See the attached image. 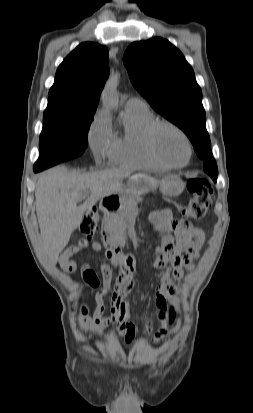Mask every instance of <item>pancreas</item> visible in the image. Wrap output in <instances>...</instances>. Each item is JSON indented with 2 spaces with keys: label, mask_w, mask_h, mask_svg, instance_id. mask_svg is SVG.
Masks as SVG:
<instances>
[{
  "label": "pancreas",
  "mask_w": 253,
  "mask_h": 413,
  "mask_svg": "<svg viewBox=\"0 0 253 413\" xmlns=\"http://www.w3.org/2000/svg\"><path fill=\"white\" fill-rule=\"evenodd\" d=\"M143 200L140 196L130 197L125 201L121 209L113 214H109L105 221L116 234L117 243L124 246L127 241V220L130 213L137 208V203Z\"/></svg>",
  "instance_id": "pancreas-1"
}]
</instances>
